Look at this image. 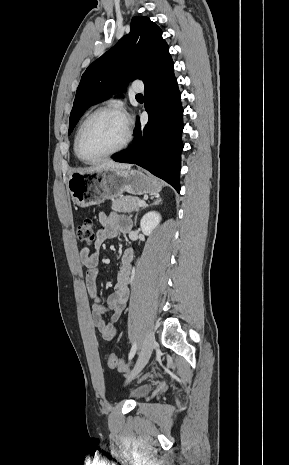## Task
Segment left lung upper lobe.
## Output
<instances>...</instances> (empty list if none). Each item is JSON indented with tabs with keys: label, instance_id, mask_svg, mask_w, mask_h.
<instances>
[{
	"label": "left lung upper lobe",
	"instance_id": "5c2ea615",
	"mask_svg": "<svg viewBox=\"0 0 289 465\" xmlns=\"http://www.w3.org/2000/svg\"><path fill=\"white\" fill-rule=\"evenodd\" d=\"M174 63L161 29L148 17H133L130 33L94 61L82 75L69 118L72 132L84 111L111 94L123 91L129 81L145 86L168 75Z\"/></svg>",
	"mask_w": 289,
	"mask_h": 465
}]
</instances>
